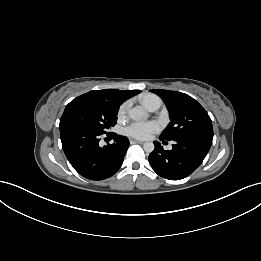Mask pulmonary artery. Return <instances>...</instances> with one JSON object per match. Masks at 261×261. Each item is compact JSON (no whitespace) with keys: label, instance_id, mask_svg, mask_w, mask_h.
<instances>
[{"label":"pulmonary artery","instance_id":"1","mask_svg":"<svg viewBox=\"0 0 261 261\" xmlns=\"http://www.w3.org/2000/svg\"><path fill=\"white\" fill-rule=\"evenodd\" d=\"M161 103H162V102H161L160 98L155 97V98H153V99L149 102V104H148V106L146 107V109H147L148 111H150V112H155V111H157V110L160 108Z\"/></svg>","mask_w":261,"mask_h":261}]
</instances>
